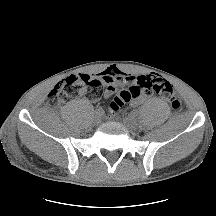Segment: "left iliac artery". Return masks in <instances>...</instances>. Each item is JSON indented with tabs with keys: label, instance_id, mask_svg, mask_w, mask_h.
I'll return each mask as SVG.
<instances>
[{
	"label": "left iliac artery",
	"instance_id": "obj_1",
	"mask_svg": "<svg viewBox=\"0 0 216 216\" xmlns=\"http://www.w3.org/2000/svg\"><path fill=\"white\" fill-rule=\"evenodd\" d=\"M132 115L136 116V115H137V112H136V111H135V112H132Z\"/></svg>",
	"mask_w": 216,
	"mask_h": 216
}]
</instances>
